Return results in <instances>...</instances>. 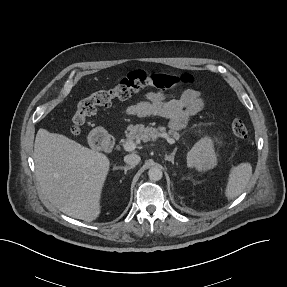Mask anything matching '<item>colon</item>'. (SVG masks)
Listing matches in <instances>:
<instances>
[{"mask_svg":"<svg viewBox=\"0 0 287 287\" xmlns=\"http://www.w3.org/2000/svg\"><path fill=\"white\" fill-rule=\"evenodd\" d=\"M193 82L194 77L190 74L175 75L134 70L119 80L113 88L96 91L91 96L80 100L72 116L71 132L78 135L86 120L96 112L97 107L109 106L115 99H128L133 93L146 86L168 90L180 85H189ZM231 129L237 137L246 138L248 136V129L239 116H235L232 120Z\"/></svg>","mask_w":287,"mask_h":287,"instance_id":"1","label":"colon"}]
</instances>
